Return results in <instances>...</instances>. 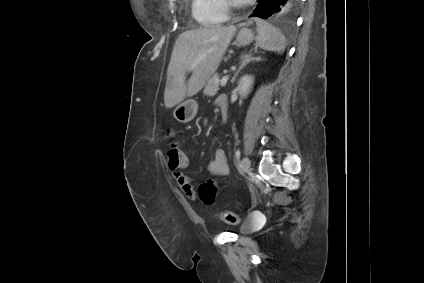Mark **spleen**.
<instances>
[{
  "instance_id": "obj_1",
  "label": "spleen",
  "mask_w": 424,
  "mask_h": 283,
  "mask_svg": "<svg viewBox=\"0 0 424 283\" xmlns=\"http://www.w3.org/2000/svg\"><path fill=\"white\" fill-rule=\"evenodd\" d=\"M258 44L268 51L281 53L286 47V38L281 31L265 21L257 22Z\"/></svg>"
}]
</instances>
